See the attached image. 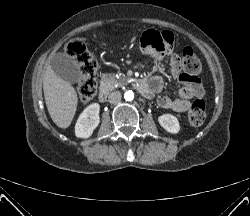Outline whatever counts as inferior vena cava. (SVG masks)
Returning a JSON list of instances; mask_svg holds the SVG:
<instances>
[{"label":"inferior vena cava","instance_id":"inferior-vena-cava-1","mask_svg":"<svg viewBox=\"0 0 250 216\" xmlns=\"http://www.w3.org/2000/svg\"><path fill=\"white\" fill-rule=\"evenodd\" d=\"M122 98V95L119 91H114L112 93H110L108 101L111 104H116L118 103Z\"/></svg>","mask_w":250,"mask_h":216}]
</instances>
